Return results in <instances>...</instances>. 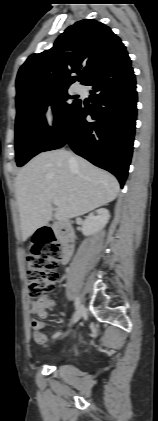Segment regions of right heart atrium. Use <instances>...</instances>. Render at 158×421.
Listing matches in <instances>:
<instances>
[{"label":"right heart atrium","instance_id":"right-heart-atrium-1","mask_svg":"<svg viewBox=\"0 0 158 421\" xmlns=\"http://www.w3.org/2000/svg\"><path fill=\"white\" fill-rule=\"evenodd\" d=\"M42 122L48 128H54L59 122V113L55 105H47L42 112Z\"/></svg>","mask_w":158,"mask_h":421}]
</instances>
